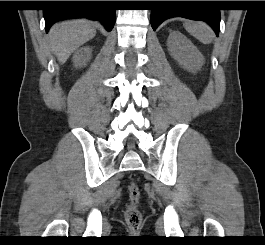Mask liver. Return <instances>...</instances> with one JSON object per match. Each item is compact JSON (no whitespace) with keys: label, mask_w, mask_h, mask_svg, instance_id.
I'll list each match as a JSON object with an SVG mask.
<instances>
[{"label":"liver","mask_w":265,"mask_h":245,"mask_svg":"<svg viewBox=\"0 0 265 245\" xmlns=\"http://www.w3.org/2000/svg\"><path fill=\"white\" fill-rule=\"evenodd\" d=\"M96 35L94 25L87 20H68L52 26L49 31L50 47L60 63H65L81 45Z\"/></svg>","instance_id":"6515ba94"}]
</instances>
